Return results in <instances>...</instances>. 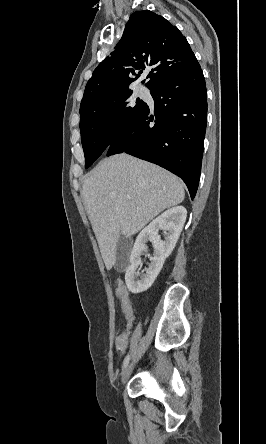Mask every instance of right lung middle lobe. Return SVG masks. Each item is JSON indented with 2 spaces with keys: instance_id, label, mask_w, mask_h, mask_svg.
<instances>
[{
  "instance_id": "right-lung-middle-lobe-1",
  "label": "right lung middle lobe",
  "mask_w": 266,
  "mask_h": 444,
  "mask_svg": "<svg viewBox=\"0 0 266 444\" xmlns=\"http://www.w3.org/2000/svg\"><path fill=\"white\" fill-rule=\"evenodd\" d=\"M129 89L96 98L80 107V131L85 168L108 148L116 136L147 108Z\"/></svg>"
}]
</instances>
